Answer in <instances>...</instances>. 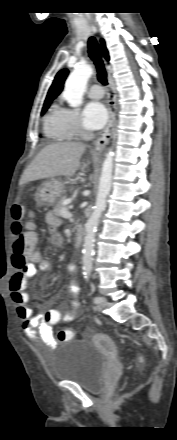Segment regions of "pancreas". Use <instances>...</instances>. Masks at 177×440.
<instances>
[{"instance_id": "cf45deb5", "label": "pancreas", "mask_w": 177, "mask_h": 440, "mask_svg": "<svg viewBox=\"0 0 177 440\" xmlns=\"http://www.w3.org/2000/svg\"><path fill=\"white\" fill-rule=\"evenodd\" d=\"M66 200V196H62L55 204L53 213L56 216H61L60 211L64 207L63 202Z\"/></svg>"}]
</instances>
